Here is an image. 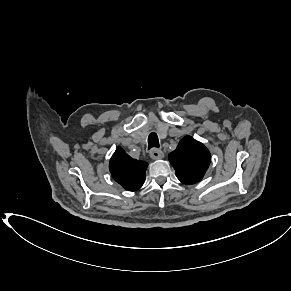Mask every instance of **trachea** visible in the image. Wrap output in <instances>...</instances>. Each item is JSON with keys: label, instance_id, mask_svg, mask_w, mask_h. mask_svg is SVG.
I'll list each match as a JSON object with an SVG mask.
<instances>
[{"label": "trachea", "instance_id": "1", "mask_svg": "<svg viewBox=\"0 0 291 291\" xmlns=\"http://www.w3.org/2000/svg\"><path fill=\"white\" fill-rule=\"evenodd\" d=\"M158 148L159 147V140L156 133L152 132L148 137V149L150 148Z\"/></svg>", "mask_w": 291, "mask_h": 291}]
</instances>
